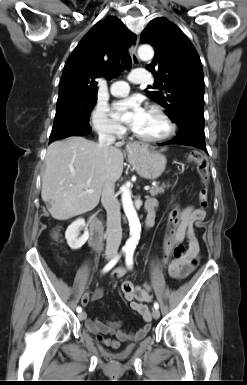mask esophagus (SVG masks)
I'll return each mask as SVG.
<instances>
[{
	"instance_id": "obj_1",
	"label": "esophagus",
	"mask_w": 247,
	"mask_h": 385,
	"mask_svg": "<svg viewBox=\"0 0 247 385\" xmlns=\"http://www.w3.org/2000/svg\"><path fill=\"white\" fill-rule=\"evenodd\" d=\"M139 38H137L130 48L131 58L135 65L139 64L140 60L137 56V48H138ZM131 146V145H130Z\"/></svg>"
}]
</instances>
